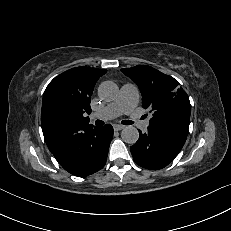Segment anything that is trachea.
Listing matches in <instances>:
<instances>
[{
    "label": "trachea",
    "instance_id": "3493384b",
    "mask_svg": "<svg viewBox=\"0 0 231 231\" xmlns=\"http://www.w3.org/2000/svg\"><path fill=\"white\" fill-rule=\"evenodd\" d=\"M95 124L98 125V126H102V125H104V122L101 121V120H96ZM122 124H124V125H131V124H133V122L130 121V120H124V121H122Z\"/></svg>",
    "mask_w": 231,
    "mask_h": 231
}]
</instances>
